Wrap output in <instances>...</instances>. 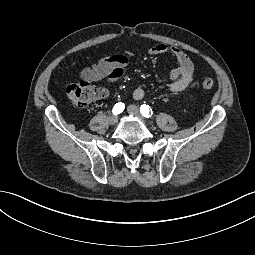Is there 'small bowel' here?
<instances>
[{"label": "small bowel", "instance_id": "c3829d8e", "mask_svg": "<svg viewBox=\"0 0 255 255\" xmlns=\"http://www.w3.org/2000/svg\"><path fill=\"white\" fill-rule=\"evenodd\" d=\"M148 53L153 56L171 54L176 59L178 66L171 70L169 74L171 83L167 86V90L170 93L182 92L190 86L194 77V64L185 52L165 44H156L148 49ZM127 64L128 59L124 55L108 56L84 68L80 72V78L87 82L101 80L113 82L123 75ZM101 94L105 95L106 91L102 90ZM133 97L136 100H142L145 97L144 89L142 87H136L133 90Z\"/></svg>", "mask_w": 255, "mask_h": 255}]
</instances>
